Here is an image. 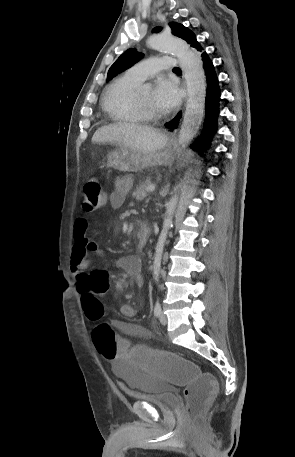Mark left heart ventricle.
<instances>
[{"label": "left heart ventricle", "instance_id": "left-heart-ventricle-1", "mask_svg": "<svg viewBox=\"0 0 295 457\" xmlns=\"http://www.w3.org/2000/svg\"><path fill=\"white\" fill-rule=\"evenodd\" d=\"M137 101L145 107L151 108L153 110L156 109L153 105L152 94L150 92H145L138 96Z\"/></svg>", "mask_w": 295, "mask_h": 457}]
</instances>
